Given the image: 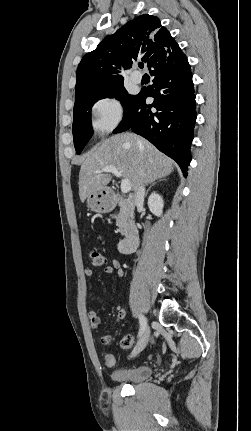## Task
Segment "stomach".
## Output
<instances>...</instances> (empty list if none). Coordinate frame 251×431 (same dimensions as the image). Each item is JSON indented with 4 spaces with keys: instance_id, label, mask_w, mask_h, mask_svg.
I'll return each mask as SVG.
<instances>
[{
    "instance_id": "obj_1",
    "label": "stomach",
    "mask_w": 251,
    "mask_h": 431,
    "mask_svg": "<svg viewBox=\"0 0 251 431\" xmlns=\"http://www.w3.org/2000/svg\"><path fill=\"white\" fill-rule=\"evenodd\" d=\"M88 207L97 213H108L115 207L112 193L104 188L90 193L87 197Z\"/></svg>"
}]
</instances>
